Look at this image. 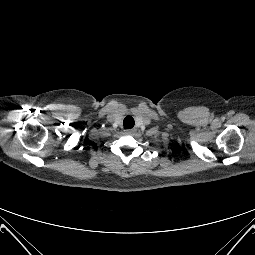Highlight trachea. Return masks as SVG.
<instances>
[{
	"instance_id": "trachea-1",
	"label": "trachea",
	"mask_w": 255,
	"mask_h": 255,
	"mask_svg": "<svg viewBox=\"0 0 255 255\" xmlns=\"http://www.w3.org/2000/svg\"><path fill=\"white\" fill-rule=\"evenodd\" d=\"M134 119L132 116H126L123 121V125L125 129H131L134 127Z\"/></svg>"
}]
</instances>
